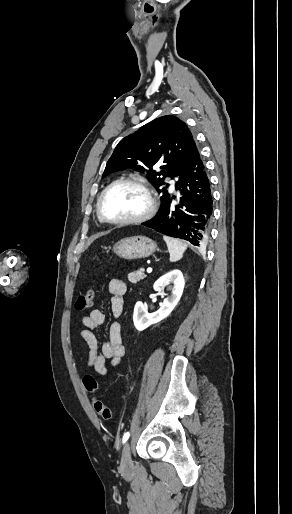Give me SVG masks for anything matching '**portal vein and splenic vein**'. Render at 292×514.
I'll list each match as a JSON object with an SVG mask.
<instances>
[{
    "instance_id": "18ae733b",
    "label": "portal vein and splenic vein",
    "mask_w": 292,
    "mask_h": 514,
    "mask_svg": "<svg viewBox=\"0 0 292 514\" xmlns=\"http://www.w3.org/2000/svg\"><path fill=\"white\" fill-rule=\"evenodd\" d=\"M147 272L150 274V272H152V268H148Z\"/></svg>"
}]
</instances>
